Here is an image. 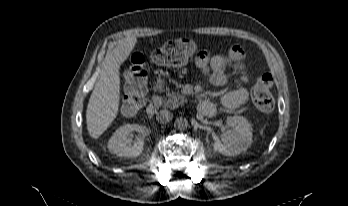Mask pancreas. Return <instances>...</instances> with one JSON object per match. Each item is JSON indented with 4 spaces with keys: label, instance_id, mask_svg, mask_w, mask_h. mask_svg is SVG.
I'll return each mask as SVG.
<instances>
[{
    "label": "pancreas",
    "instance_id": "obj_1",
    "mask_svg": "<svg viewBox=\"0 0 348 206\" xmlns=\"http://www.w3.org/2000/svg\"><path fill=\"white\" fill-rule=\"evenodd\" d=\"M185 102L186 100L184 96H182L179 92L174 91L167 93L163 98L164 106L173 109L183 105Z\"/></svg>",
    "mask_w": 348,
    "mask_h": 206
}]
</instances>
